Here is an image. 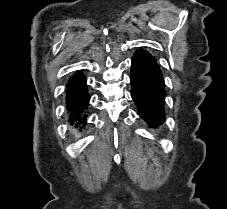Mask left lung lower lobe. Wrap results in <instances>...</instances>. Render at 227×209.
I'll list each match as a JSON object with an SVG mask.
<instances>
[{"label": "left lung lower lobe", "mask_w": 227, "mask_h": 209, "mask_svg": "<svg viewBox=\"0 0 227 209\" xmlns=\"http://www.w3.org/2000/svg\"><path fill=\"white\" fill-rule=\"evenodd\" d=\"M131 62V96L138 113L150 127L161 126L165 121V87L160 65L143 49L134 53Z\"/></svg>", "instance_id": "obj_1"}]
</instances>
